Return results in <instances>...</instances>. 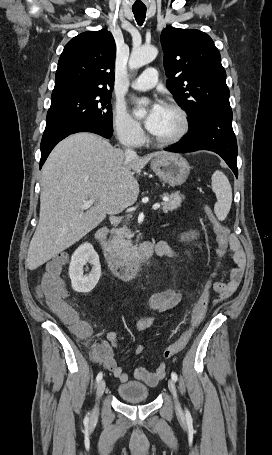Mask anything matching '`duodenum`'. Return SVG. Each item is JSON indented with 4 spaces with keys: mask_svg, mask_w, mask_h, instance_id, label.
<instances>
[{
    "mask_svg": "<svg viewBox=\"0 0 272 455\" xmlns=\"http://www.w3.org/2000/svg\"><path fill=\"white\" fill-rule=\"evenodd\" d=\"M107 234L108 228L103 227L95 233L93 241L101 249L108 269L119 279L132 278L138 267L154 253H157L156 246L153 243L145 242L133 253L125 257L118 256L107 246Z\"/></svg>",
    "mask_w": 272,
    "mask_h": 455,
    "instance_id": "1",
    "label": "duodenum"
}]
</instances>
